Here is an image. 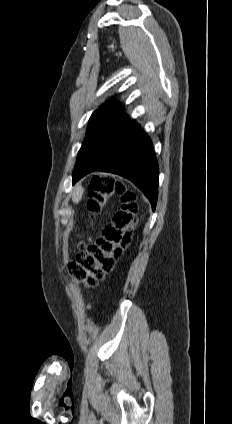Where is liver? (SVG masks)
<instances>
[{
	"instance_id": "obj_1",
	"label": "liver",
	"mask_w": 232,
	"mask_h": 424,
	"mask_svg": "<svg viewBox=\"0 0 232 424\" xmlns=\"http://www.w3.org/2000/svg\"><path fill=\"white\" fill-rule=\"evenodd\" d=\"M83 192H84V189L82 188L81 185L76 186V188L74 189V192L72 194V201L74 203L79 202L82 198Z\"/></svg>"
}]
</instances>
